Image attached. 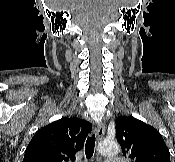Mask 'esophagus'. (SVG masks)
Masks as SVG:
<instances>
[{
    "label": "esophagus",
    "instance_id": "34e87169",
    "mask_svg": "<svg viewBox=\"0 0 175 162\" xmlns=\"http://www.w3.org/2000/svg\"><path fill=\"white\" fill-rule=\"evenodd\" d=\"M96 136L98 140H101L105 133V125L103 122H98L95 128Z\"/></svg>",
    "mask_w": 175,
    "mask_h": 162
}]
</instances>
